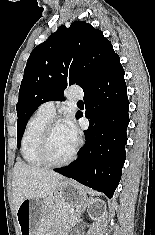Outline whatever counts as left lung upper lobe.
<instances>
[{"label": "left lung upper lobe", "instance_id": "left-lung-upper-lobe-1", "mask_svg": "<svg viewBox=\"0 0 155 235\" xmlns=\"http://www.w3.org/2000/svg\"><path fill=\"white\" fill-rule=\"evenodd\" d=\"M118 57L103 32L83 21H75L69 28L60 26L34 48L16 105L17 147L29 118L42 103L63 100L68 85L78 84L83 90L91 87Z\"/></svg>", "mask_w": 155, "mask_h": 235}]
</instances>
